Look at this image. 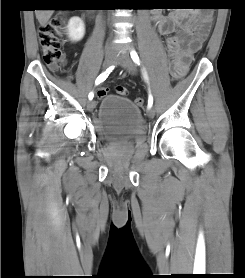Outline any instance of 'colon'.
Returning <instances> with one entry per match:
<instances>
[{
    "label": "colon",
    "instance_id": "obj_1",
    "mask_svg": "<svg viewBox=\"0 0 245 278\" xmlns=\"http://www.w3.org/2000/svg\"><path fill=\"white\" fill-rule=\"evenodd\" d=\"M196 7L206 12L214 8L210 0H202ZM64 27V18L61 15H56L39 29L38 37L42 58L44 63L53 71H59L65 60L60 41V35ZM208 28V24H204V29L208 30ZM170 72L174 79H179L182 75L174 65L171 66ZM107 93L108 90L103 88L99 90L98 95H105ZM116 93L119 96H126L128 90L125 87H117ZM134 102L138 107H142L144 99L142 97H136Z\"/></svg>",
    "mask_w": 245,
    "mask_h": 278
}]
</instances>
